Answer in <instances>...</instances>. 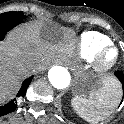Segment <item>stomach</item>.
Wrapping results in <instances>:
<instances>
[{"instance_id": "0dacf381", "label": "stomach", "mask_w": 124, "mask_h": 124, "mask_svg": "<svg viewBox=\"0 0 124 124\" xmlns=\"http://www.w3.org/2000/svg\"><path fill=\"white\" fill-rule=\"evenodd\" d=\"M107 84L111 88L114 87L111 79H98L91 75L81 74L74 85L73 94L75 97L89 98L104 89Z\"/></svg>"}]
</instances>
